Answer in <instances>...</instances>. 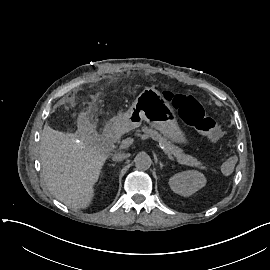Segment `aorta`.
I'll use <instances>...</instances> for the list:
<instances>
[{
  "label": "aorta",
  "instance_id": "1",
  "mask_svg": "<svg viewBox=\"0 0 270 270\" xmlns=\"http://www.w3.org/2000/svg\"><path fill=\"white\" fill-rule=\"evenodd\" d=\"M135 166L138 170H147L151 167L152 160L147 154H137L134 159Z\"/></svg>",
  "mask_w": 270,
  "mask_h": 270
}]
</instances>
